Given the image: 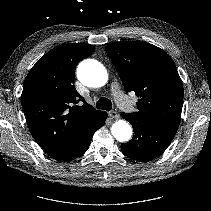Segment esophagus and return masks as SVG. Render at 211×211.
Returning <instances> with one entry per match:
<instances>
[{
    "instance_id": "obj_1",
    "label": "esophagus",
    "mask_w": 211,
    "mask_h": 211,
    "mask_svg": "<svg viewBox=\"0 0 211 211\" xmlns=\"http://www.w3.org/2000/svg\"><path fill=\"white\" fill-rule=\"evenodd\" d=\"M109 116L113 119H118L119 118V114L116 111H110L109 112Z\"/></svg>"
}]
</instances>
